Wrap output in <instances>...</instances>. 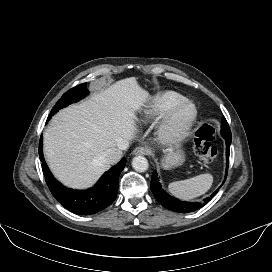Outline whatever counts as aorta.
I'll return each instance as SVG.
<instances>
[{"label": "aorta", "mask_w": 272, "mask_h": 272, "mask_svg": "<svg viewBox=\"0 0 272 272\" xmlns=\"http://www.w3.org/2000/svg\"><path fill=\"white\" fill-rule=\"evenodd\" d=\"M132 167L137 171V172H145L148 167V161L145 157L143 156H136L132 160Z\"/></svg>", "instance_id": "1"}]
</instances>
